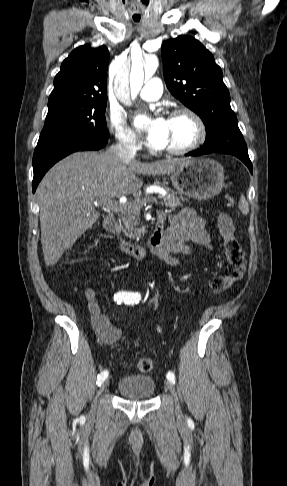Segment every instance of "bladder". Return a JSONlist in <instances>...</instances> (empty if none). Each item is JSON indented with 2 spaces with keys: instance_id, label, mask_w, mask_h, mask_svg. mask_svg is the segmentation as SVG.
<instances>
[{
  "instance_id": "1",
  "label": "bladder",
  "mask_w": 287,
  "mask_h": 486,
  "mask_svg": "<svg viewBox=\"0 0 287 486\" xmlns=\"http://www.w3.org/2000/svg\"><path fill=\"white\" fill-rule=\"evenodd\" d=\"M156 385L148 375H125L117 384L118 392L131 399H148L155 393Z\"/></svg>"
}]
</instances>
